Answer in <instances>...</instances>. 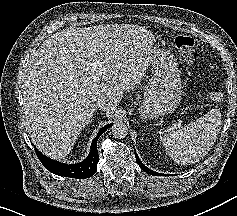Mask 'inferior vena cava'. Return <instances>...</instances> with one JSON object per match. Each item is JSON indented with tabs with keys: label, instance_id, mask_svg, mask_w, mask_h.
<instances>
[{
	"label": "inferior vena cava",
	"instance_id": "inferior-vena-cava-1",
	"mask_svg": "<svg viewBox=\"0 0 237 216\" xmlns=\"http://www.w3.org/2000/svg\"><path fill=\"white\" fill-rule=\"evenodd\" d=\"M95 109H99L102 111H115L117 105H115L114 103H111L110 101H107L105 99H100L96 102V104L94 105Z\"/></svg>",
	"mask_w": 237,
	"mask_h": 216
}]
</instances>
